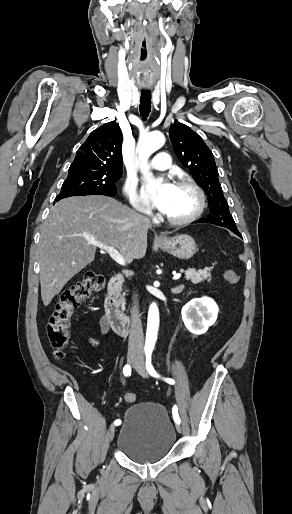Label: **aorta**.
<instances>
[{
    "instance_id": "aorta-1",
    "label": "aorta",
    "mask_w": 292,
    "mask_h": 514,
    "mask_svg": "<svg viewBox=\"0 0 292 514\" xmlns=\"http://www.w3.org/2000/svg\"><path fill=\"white\" fill-rule=\"evenodd\" d=\"M165 144V138L161 132H150L141 136L138 144L139 158L141 160L140 170L145 180H151L153 174L147 168L149 156L154 154L156 150L162 148ZM159 328V310L156 304H151L148 312V324L146 334V348L153 350L157 338Z\"/></svg>"
}]
</instances>
